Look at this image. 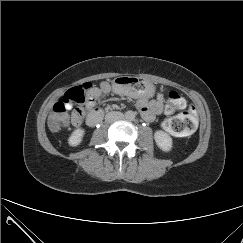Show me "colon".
<instances>
[{"instance_id":"5ec220e1","label":"colon","mask_w":243,"mask_h":243,"mask_svg":"<svg viewBox=\"0 0 243 243\" xmlns=\"http://www.w3.org/2000/svg\"><path fill=\"white\" fill-rule=\"evenodd\" d=\"M107 85L104 84V87ZM93 86L91 83H82L66 91L61 101L55 104L54 111L49 117V127L53 131H59L69 123V106L73 103L78 107L74 110L72 118L81 120L84 113L83 106L93 100ZM180 114L165 119L162 128L176 136H187L194 132L197 126L195 108L177 92H170L165 104V113L171 114L175 111Z\"/></svg>"}]
</instances>
